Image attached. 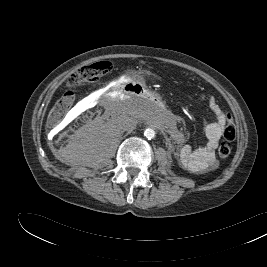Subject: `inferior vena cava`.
<instances>
[{"label":"inferior vena cava","mask_w":267,"mask_h":267,"mask_svg":"<svg viewBox=\"0 0 267 267\" xmlns=\"http://www.w3.org/2000/svg\"><path fill=\"white\" fill-rule=\"evenodd\" d=\"M116 126L120 131L131 133L136 128V121L129 116L121 115L116 119Z\"/></svg>","instance_id":"602c4592"}]
</instances>
